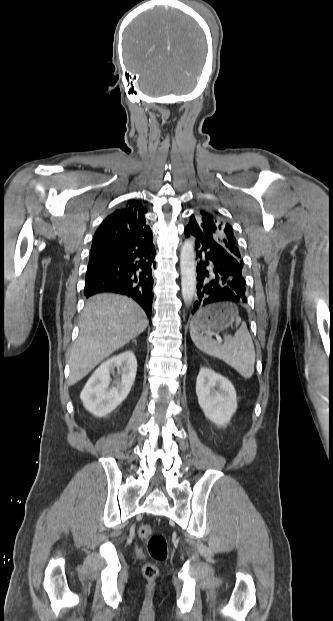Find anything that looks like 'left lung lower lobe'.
Masks as SVG:
<instances>
[{"label":"left lung lower lobe","mask_w":333,"mask_h":621,"mask_svg":"<svg viewBox=\"0 0 333 621\" xmlns=\"http://www.w3.org/2000/svg\"><path fill=\"white\" fill-rule=\"evenodd\" d=\"M185 237L197 251V300L193 313L207 304L232 301L245 303L243 265L217 241L197 228L186 227Z\"/></svg>","instance_id":"0a47b994"}]
</instances>
